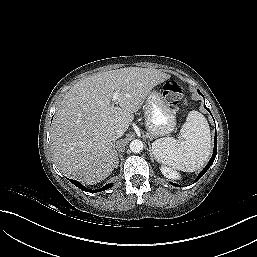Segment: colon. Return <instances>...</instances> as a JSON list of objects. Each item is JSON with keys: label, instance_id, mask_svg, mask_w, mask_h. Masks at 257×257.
<instances>
[{"label": "colon", "instance_id": "colon-1", "mask_svg": "<svg viewBox=\"0 0 257 257\" xmlns=\"http://www.w3.org/2000/svg\"><path fill=\"white\" fill-rule=\"evenodd\" d=\"M164 93H165L166 98L170 102L176 104L183 97L184 90L182 89V87L180 85L176 84L175 82H167L164 85Z\"/></svg>", "mask_w": 257, "mask_h": 257}]
</instances>
